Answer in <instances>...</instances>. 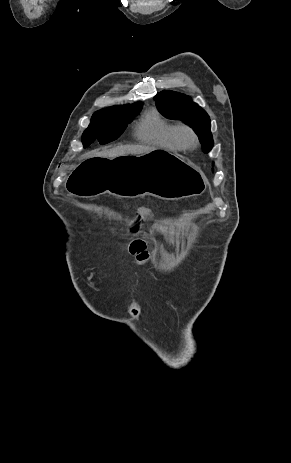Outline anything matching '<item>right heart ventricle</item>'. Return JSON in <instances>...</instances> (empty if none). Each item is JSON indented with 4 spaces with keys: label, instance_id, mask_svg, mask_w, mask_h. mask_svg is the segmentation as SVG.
<instances>
[{
    "label": "right heart ventricle",
    "instance_id": "right-heart-ventricle-1",
    "mask_svg": "<svg viewBox=\"0 0 291 463\" xmlns=\"http://www.w3.org/2000/svg\"><path fill=\"white\" fill-rule=\"evenodd\" d=\"M176 126L161 116L157 111L151 110L143 115L139 121L135 134L143 143L178 150L174 132Z\"/></svg>",
    "mask_w": 291,
    "mask_h": 463
}]
</instances>
